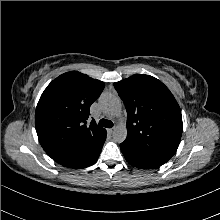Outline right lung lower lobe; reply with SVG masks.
<instances>
[{"instance_id":"1","label":"right lung lower lobe","mask_w":220,"mask_h":220,"mask_svg":"<svg viewBox=\"0 0 220 220\" xmlns=\"http://www.w3.org/2000/svg\"><path fill=\"white\" fill-rule=\"evenodd\" d=\"M104 142H105V140H104ZM104 142L98 147L96 153L94 154L93 160L90 162V164H89L88 166L94 164V163L97 161V159H98V157H99V155H100V152H101V150H102V146H103ZM86 167H87V166H86ZM83 168H84V167H83Z\"/></svg>"}]
</instances>
